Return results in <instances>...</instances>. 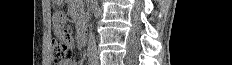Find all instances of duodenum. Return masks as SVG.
<instances>
[{"mask_svg": "<svg viewBox=\"0 0 232 65\" xmlns=\"http://www.w3.org/2000/svg\"><path fill=\"white\" fill-rule=\"evenodd\" d=\"M80 40L83 45L87 43V30L85 28H82L81 30Z\"/></svg>", "mask_w": 232, "mask_h": 65, "instance_id": "duodenum-1", "label": "duodenum"}]
</instances>
